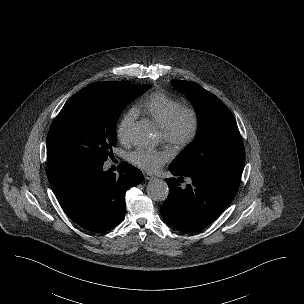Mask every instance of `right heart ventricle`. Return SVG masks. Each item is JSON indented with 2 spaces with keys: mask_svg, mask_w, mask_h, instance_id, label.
I'll use <instances>...</instances> for the list:
<instances>
[{
  "mask_svg": "<svg viewBox=\"0 0 304 304\" xmlns=\"http://www.w3.org/2000/svg\"><path fill=\"white\" fill-rule=\"evenodd\" d=\"M180 107L182 104L179 100L164 92L157 91L148 95L140 103L137 110L143 111L163 128Z\"/></svg>",
  "mask_w": 304,
  "mask_h": 304,
  "instance_id": "right-heart-ventricle-1",
  "label": "right heart ventricle"
}]
</instances>
